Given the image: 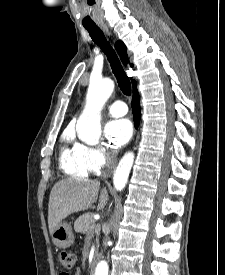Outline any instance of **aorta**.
Instances as JSON below:
<instances>
[{
	"label": "aorta",
	"mask_w": 225,
	"mask_h": 275,
	"mask_svg": "<svg viewBox=\"0 0 225 275\" xmlns=\"http://www.w3.org/2000/svg\"><path fill=\"white\" fill-rule=\"evenodd\" d=\"M113 90L114 82L111 79L90 80L86 105L76 124L77 135L85 143L95 145L98 142L101 135L100 112ZM133 162V152L126 153L119 161L113 176L116 190L121 191L125 187ZM95 275H108L107 262H99Z\"/></svg>",
	"instance_id": "obj_1"
}]
</instances>
